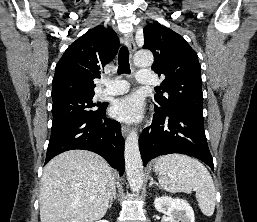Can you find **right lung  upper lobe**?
I'll use <instances>...</instances> for the list:
<instances>
[{
  "instance_id": "obj_1",
  "label": "right lung upper lobe",
  "mask_w": 257,
  "mask_h": 222,
  "mask_svg": "<svg viewBox=\"0 0 257 222\" xmlns=\"http://www.w3.org/2000/svg\"><path fill=\"white\" fill-rule=\"evenodd\" d=\"M119 39L111 28L96 26L73 42L55 68L53 101L94 95V79L117 54Z\"/></svg>"
}]
</instances>
